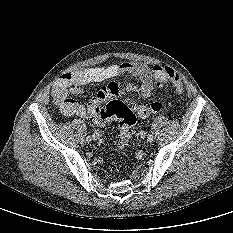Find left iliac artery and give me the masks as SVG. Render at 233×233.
I'll list each match as a JSON object with an SVG mask.
<instances>
[{"label": "left iliac artery", "mask_w": 233, "mask_h": 233, "mask_svg": "<svg viewBox=\"0 0 233 233\" xmlns=\"http://www.w3.org/2000/svg\"><path fill=\"white\" fill-rule=\"evenodd\" d=\"M147 140H148V142H152L153 141V135L152 134H148Z\"/></svg>", "instance_id": "44dca946"}]
</instances>
